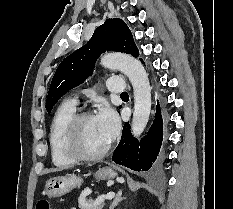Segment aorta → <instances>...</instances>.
I'll return each mask as SVG.
<instances>
[{"label":"aorta","instance_id":"762f6f07","mask_svg":"<svg viewBox=\"0 0 233 209\" xmlns=\"http://www.w3.org/2000/svg\"><path fill=\"white\" fill-rule=\"evenodd\" d=\"M101 64L105 68L118 69L129 78L134 91L131 132L139 137L148 123L151 111V87L146 70L139 60L126 54L104 55Z\"/></svg>","mask_w":233,"mask_h":209}]
</instances>
